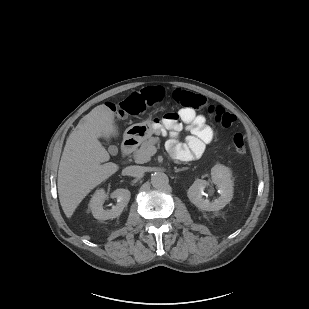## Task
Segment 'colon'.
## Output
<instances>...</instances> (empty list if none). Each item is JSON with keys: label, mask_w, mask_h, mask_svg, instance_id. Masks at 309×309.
<instances>
[{"label": "colon", "mask_w": 309, "mask_h": 309, "mask_svg": "<svg viewBox=\"0 0 309 309\" xmlns=\"http://www.w3.org/2000/svg\"><path fill=\"white\" fill-rule=\"evenodd\" d=\"M165 92L160 87H153L129 96L121 102H109L108 108L119 118L137 116L143 113L148 106L160 102L164 98ZM174 101L185 108L203 109L223 128H230L235 117L225 108L219 105L211 104L207 99L197 93L177 88L173 91ZM233 149L237 154H244L247 150L245 137L236 133L232 138Z\"/></svg>", "instance_id": "obj_1"}]
</instances>
